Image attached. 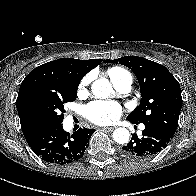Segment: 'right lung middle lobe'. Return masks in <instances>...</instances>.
<instances>
[{"mask_svg":"<svg viewBox=\"0 0 196 196\" xmlns=\"http://www.w3.org/2000/svg\"><path fill=\"white\" fill-rule=\"evenodd\" d=\"M78 85L40 87L32 90L25 100V110L40 129L63 122L64 104L76 99Z\"/></svg>","mask_w":196,"mask_h":196,"instance_id":"obj_1","label":"right lung middle lobe"}]
</instances>
